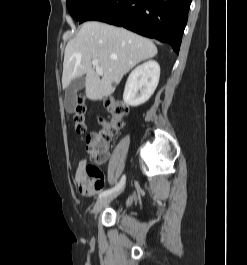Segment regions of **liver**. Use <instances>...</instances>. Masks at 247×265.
<instances>
[{"label":"liver","instance_id":"obj_1","mask_svg":"<svg viewBox=\"0 0 247 265\" xmlns=\"http://www.w3.org/2000/svg\"><path fill=\"white\" fill-rule=\"evenodd\" d=\"M157 54L152 41L124 28L97 21L84 23L65 48L62 87L86 75V96L98 100L110 96L123 76L136 64ZM92 61L103 69L102 78Z\"/></svg>","mask_w":247,"mask_h":265}]
</instances>
